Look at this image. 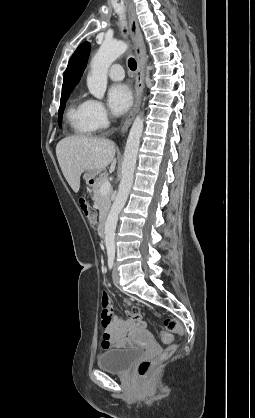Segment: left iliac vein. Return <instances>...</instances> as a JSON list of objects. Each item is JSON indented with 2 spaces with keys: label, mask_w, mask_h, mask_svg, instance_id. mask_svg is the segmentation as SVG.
Returning <instances> with one entry per match:
<instances>
[{
  "label": "left iliac vein",
  "mask_w": 255,
  "mask_h": 418,
  "mask_svg": "<svg viewBox=\"0 0 255 418\" xmlns=\"http://www.w3.org/2000/svg\"><path fill=\"white\" fill-rule=\"evenodd\" d=\"M112 279L115 284H117L120 280V275L117 267L115 266L112 272Z\"/></svg>",
  "instance_id": "4c4485c4"
}]
</instances>
